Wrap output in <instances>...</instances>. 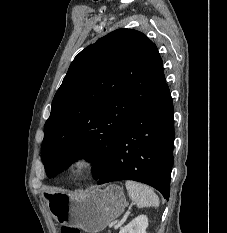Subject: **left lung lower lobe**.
<instances>
[{
	"mask_svg": "<svg viewBox=\"0 0 227 233\" xmlns=\"http://www.w3.org/2000/svg\"><path fill=\"white\" fill-rule=\"evenodd\" d=\"M173 146V103L165 84L122 131L98 184L139 181L156 188L168 199Z\"/></svg>",
	"mask_w": 227,
	"mask_h": 233,
	"instance_id": "obj_1",
	"label": "left lung lower lobe"
}]
</instances>
